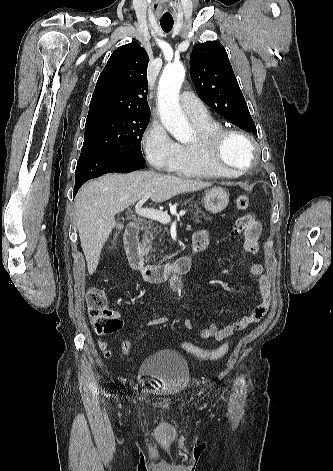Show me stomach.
<instances>
[{
	"label": "stomach",
	"instance_id": "0dacf381",
	"mask_svg": "<svg viewBox=\"0 0 333 471\" xmlns=\"http://www.w3.org/2000/svg\"><path fill=\"white\" fill-rule=\"evenodd\" d=\"M229 203V194L221 187H214L207 191L203 204L204 208L212 214L222 212Z\"/></svg>",
	"mask_w": 333,
	"mask_h": 471
}]
</instances>
